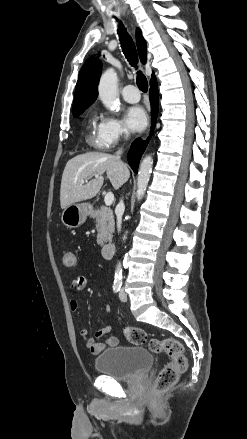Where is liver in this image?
Instances as JSON below:
<instances>
[{"mask_svg":"<svg viewBox=\"0 0 247 439\" xmlns=\"http://www.w3.org/2000/svg\"><path fill=\"white\" fill-rule=\"evenodd\" d=\"M106 172L112 186L117 189L130 176L126 166L116 155L89 152L70 159L63 171L60 188V205L65 209L71 204L93 198L100 191ZM98 175L95 179L92 176ZM86 181V184H82Z\"/></svg>","mask_w":247,"mask_h":439,"instance_id":"6515ba94","label":"liver"}]
</instances>
